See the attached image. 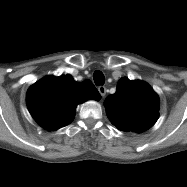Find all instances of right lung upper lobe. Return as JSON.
Instances as JSON below:
<instances>
[{
	"label": "right lung upper lobe",
	"mask_w": 187,
	"mask_h": 187,
	"mask_svg": "<svg viewBox=\"0 0 187 187\" xmlns=\"http://www.w3.org/2000/svg\"><path fill=\"white\" fill-rule=\"evenodd\" d=\"M97 89L90 80L78 83L70 75L47 76L27 91L26 102L33 118L47 130H57L71 123L79 103L99 100Z\"/></svg>",
	"instance_id": "cb5924a9"
}]
</instances>
